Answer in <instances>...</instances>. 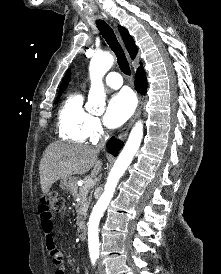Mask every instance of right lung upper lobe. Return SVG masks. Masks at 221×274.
Here are the masks:
<instances>
[{
	"label": "right lung upper lobe",
	"instance_id": "1",
	"mask_svg": "<svg viewBox=\"0 0 221 274\" xmlns=\"http://www.w3.org/2000/svg\"><path fill=\"white\" fill-rule=\"evenodd\" d=\"M118 28H119L122 39L125 43V46L129 52L131 58H135V56L137 54V47L134 43L132 36L129 35L128 31L124 27L119 25ZM139 68H142V64H140ZM69 79H70V69L67 71V74L65 75V77L60 85L58 95L61 94L66 89Z\"/></svg>",
	"mask_w": 221,
	"mask_h": 274
}]
</instances>
